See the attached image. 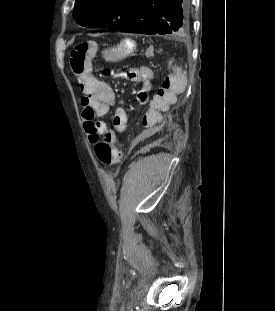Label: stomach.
Instances as JSON below:
<instances>
[{
	"instance_id": "obj_1",
	"label": "stomach",
	"mask_w": 275,
	"mask_h": 311,
	"mask_svg": "<svg viewBox=\"0 0 275 311\" xmlns=\"http://www.w3.org/2000/svg\"><path fill=\"white\" fill-rule=\"evenodd\" d=\"M136 51V43L130 39H124L115 47L103 51V58L108 62H120Z\"/></svg>"
}]
</instances>
